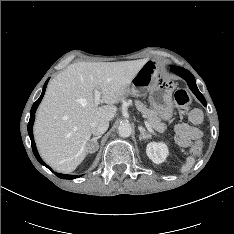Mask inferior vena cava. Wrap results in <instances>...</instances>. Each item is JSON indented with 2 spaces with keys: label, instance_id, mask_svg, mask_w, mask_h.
I'll use <instances>...</instances> for the list:
<instances>
[{
  "label": "inferior vena cava",
  "instance_id": "obj_1",
  "mask_svg": "<svg viewBox=\"0 0 234 234\" xmlns=\"http://www.w3.org/2000/svg\"><path fill=\"white\" fill-rule=\"evenodd\" d=\"M108 127H109V121L105 119H100V120L94 121L91 124V132L93 135L99 136L105 133Z\"/></svg>",
  "mask_w": 234,
  "mask_h": 234
}]
</instances>
